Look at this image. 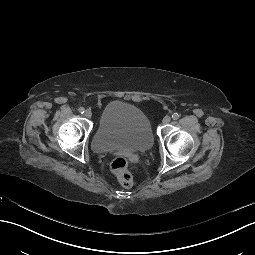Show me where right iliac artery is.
Listing matches in <instances>:
<instances>
[{
	"instance_id": "1",
	"label": "right iliac artery",
	"mask_w": 255,
	"mask_h": 255,
	"mask_svg": "<svg viewBox=\"0 0 255 255\" xmlns=\"http://www.w3.org/2000/svg\"><path fill=\"white\" fill-rule=\"evenodd\" d=\"M78 110H79V112H80L81 114H83L84 111H85V109H84L83 107H80Z\"/></svg>"
}]
</instances>
